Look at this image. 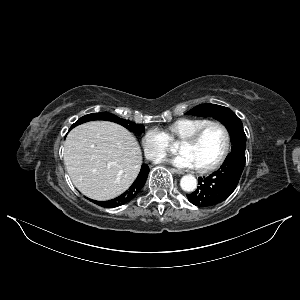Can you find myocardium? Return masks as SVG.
Returning a JSON list of instances; mask_svg holds the SVG:
<instances>
[{
	"mask_svg": "<svg viewBox=\"0 0 300 300\" xmlns=\"http://www.w3.org/2000/svg\"><path fill=\"white\" fill-rule=\"evenodd\" d=\"M212 126H219L220 128H222V130L225 134L224 149H223V152L220 155V157L215 162H213L212 164H210L208 166L197 168V171L199 173L212 172V171L218 169L224 163V161L227 159L229 152H230V148H231V134H230L228 127L221 121L213 120V121H210L207 124L203 125L202 127H200L193 134L186 137L182 141L183 143H187V144H191V145L196 144L201 139V137L206 132V130Z\"/></svg>",
	"mask_w": 300,
	"mask_h": 300,
	"instance_id": "obj_1",
	"label": "myocardium"
}]
</instances>
